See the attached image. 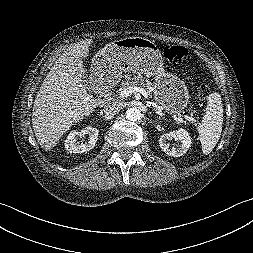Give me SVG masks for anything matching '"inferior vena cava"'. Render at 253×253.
Returning <instances> with one entry per match:
<instances>
[{"label": "inferior vena cava", "mask_w": 253, "mask_h": 253, "mask_svg": "<svg viewBox=\"0 0 253 253\" xmlns=\"http://www.w3.org/2000/svg\"><path fill=\"white\" fill-rule=\"evenodd\" d=\"M123 108V104L120 101L108 102L104 105L103 111L107 116H114L120 112Z\"/></svg>", "instance_id": "1"}]
</instances>
